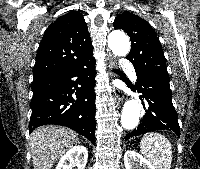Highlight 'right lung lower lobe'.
<instances>
[{
    "label": "right lung lower lobe",
    "instance_id": "98d812e1",
    "mask_svg": "<svg viewBox=\"0 0 200 169\" xmlns=\"http://www.w3.org/2000/svg\"><path fill=\"white\" fill-rule=\"evenodd\" d=\"M95 74L91 56L69 71L33 81L30 133L39 126L57 124L95 144Z\"/></svg>",
    "mask_w": 200,
    "mask_h": 169
}]
</instances>
